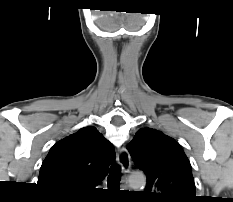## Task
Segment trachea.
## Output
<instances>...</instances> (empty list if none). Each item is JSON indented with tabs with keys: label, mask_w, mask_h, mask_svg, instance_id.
I'll use <instances>...</instances> for the list:
<instances>
[{
	"label": "trachea",
	"mask_w": 233,
	"mask_h": 202,
	"mask_svg": "<svg viewBox=\"0 0 233 202\" xmlns=\"http://www.w3.org/2000/svg\"><path fill=\"white\" fill-rule=\"evenodd\" d=\"M121 180V169L117 164H112L110 167V173L107 179L109 188H118Z\"/></svg>",
	"instance_id": "3493384b"
}]
</instances>
